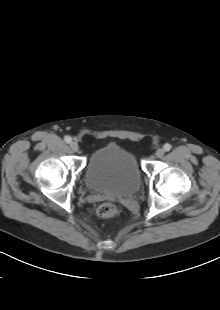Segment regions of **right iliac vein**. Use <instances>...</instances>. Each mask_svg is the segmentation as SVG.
<instances>
[{
  "label": "right iliac vein",
  "instance_id": "1",
  "mask_svg": "<svg viewBox=\"0 0 220 310\" xmlns=\"http://www.w3.org/2000/svg\"><path fill=\"white\" fill-rule=\"evenodd\" d=\"M70 148L72 149V151L78 152V150H79V145H78L77 142H71V143H70Z\"/></svg>",
  "mask_w": 220,
  "mask_h": 310
}]
</instances>
